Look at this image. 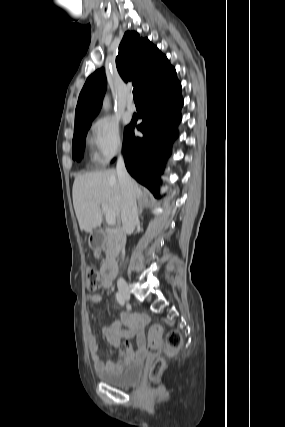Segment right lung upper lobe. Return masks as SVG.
<instances>
[{
    "instance_id": "1",
    "label": "right lung upper lobe",
    "mask_w": 285,
    "mask_h": 427,
    "mask_svg": "<svg viewBox=\"0 0 285 427\" xmlns=\"http://www.w3.org/2000/svg\"><path fill=\"white\" fill-rule=\"evenodd\" d=\"M116 66L122 79L132 80L140 93L152 80L172 67L156 46L134 31L125 32L116 57ZM105 91L106 77L102 68L88 77L79 95L75 129L90 123L98 114Z\"/></svg>"
}]
</instances>
